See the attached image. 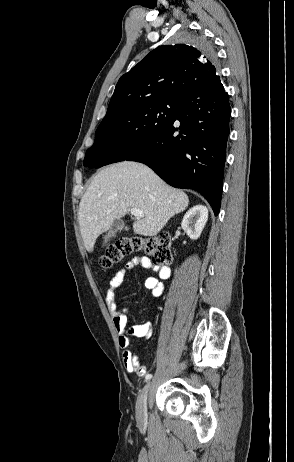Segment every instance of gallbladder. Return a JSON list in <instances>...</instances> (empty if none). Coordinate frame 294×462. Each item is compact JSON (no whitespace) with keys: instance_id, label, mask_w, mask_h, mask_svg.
<instances>
[{"instance_id":"gallbladder-1","label":"gallbladder","mask_w":294,"mask_h":462,"mask_svg":"<svg viewBox=\"0 0 294 462\" xmlns=\"http://www.w3.org/2000/svg\"><path fill=\"white\" fill-rule=\"evenodd\" d=\"M124 226V222L121 219H116L110 230L103 236L104 243H107L111 238L116 236V233L121 230Z\"/></svg>"}]
</instances>
